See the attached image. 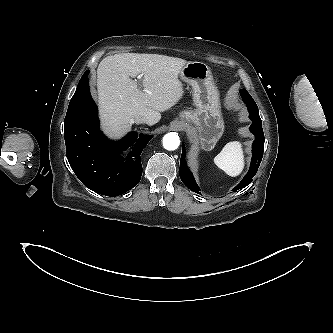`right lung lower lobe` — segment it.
I'll return each instance as SVG.
<instances>
[{"label":"right lung lower lobe","mask_w":333,"mask_h":333,"mask_svg":"<svg viewBox=\"0 0 333 333\" xmlns=\"http://www.w3.org/2000/svg\"><path fill=\"white\" fill-rule=\"evenodd\" d=\"M88 71L72 97L64 120L66 156L79 180L90 190L118 196L136 186L142 175L140 155L152 138L131 132L119 142L109 141L99 129L97 106L88 84ZM132 147L126 158L121 150Z\"/></svg>","instance_id":"obj_1"}]
</instances>
